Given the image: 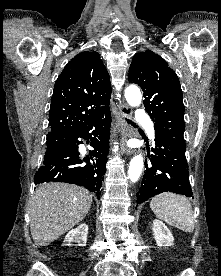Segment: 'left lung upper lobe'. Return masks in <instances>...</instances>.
<instances>
[{"label": "left lung upper lobe", "mask_w": 221, "mask_h": 276, "mask_svg": "<svg viewBox=\"0 0 221 276\" xmlns=\"http://www.w3.org/2000/svg\"><path fill=\"white\" fill-rule=\"evenodd\" d=\"M128 79L143 90L144 106L155 123V133L186 145L183 94L179 79L167 62L150 50L137 53Z\"/></svg>", "instance_id": "obj_1"}]
</instances>
